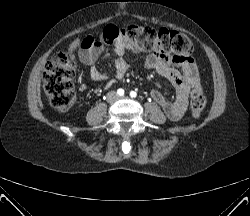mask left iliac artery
Wrapping results in <instances>:
<instances>
[{"label": "left iliac artery", "mask_w": 250, "mask_h": 216, "mask_svg": "<svg viewBox=\"0 0 250 216\" xmlns=\"http://www.w3.org/2000/svg\"><path fill=\"white\" fill-rule=\"evenodd\" d=\"M130 96H131L132 98H135V97L137 96V93H136L135 91H131V92H130Z\"/></svg>", "instance_id": "1"}]
</instances>
